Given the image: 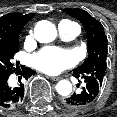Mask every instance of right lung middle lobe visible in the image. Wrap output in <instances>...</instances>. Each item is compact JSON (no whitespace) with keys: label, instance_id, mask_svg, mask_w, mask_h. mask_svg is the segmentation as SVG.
<instances>
[{"label":"right lung middle lobe","instance_id":"dd1d6c3e","mask_svg":"<svg viewBox=\"0 0 117 117\" xmlns=\"http://www.w3.org/2000/svg\"><path fill=\"white\" fill-rule=\"evenodd\" d=\"M18 51V40L0 39V74L13 72L11 59Z\"/></svg>","mask_w":117,"mask_h":117}]
</instances>
